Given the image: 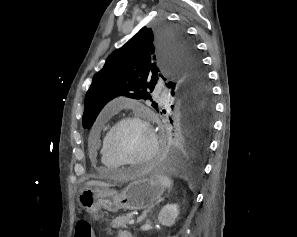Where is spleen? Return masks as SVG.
<instances>
[{"label":"spleen","mask_w":297,"mask_h":237,"mask_svg":"<svg viewBox=\"0 0 297 237\" xmlns=\"http://www.w3.org/2000/svg\"><path fill=\"white\" fill-rule=\"evenodd\" d=\"M159 180L167 188H170L173 184L172 180L167 176H159Z\"/></svg>","instance_id":"spleen-1"}]
</instances>
